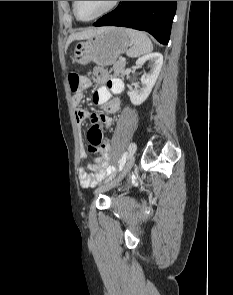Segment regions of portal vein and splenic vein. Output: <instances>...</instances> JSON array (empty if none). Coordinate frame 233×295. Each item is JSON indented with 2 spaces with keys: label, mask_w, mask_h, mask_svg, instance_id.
I'll list each match as a JSON object with an SVG mask.
<instances>
[{
  "label": "portal vein and splenic vein",
  "mask_w": 233,
  "mask_h": 295,
  "mask_svg": "<svg viewBox=\"0 0 233 295\" xmlns=\"http://www.w3.org/2000/svg\"><path fill=\"white\" fill-rule=\"evenodd\" d=\"M120 60H121V61H125V58L122 57V58H120Z\"/></svg>",
  "instance_id": "portal-vein-and-splenic-vein-1"
}]
</instances>
